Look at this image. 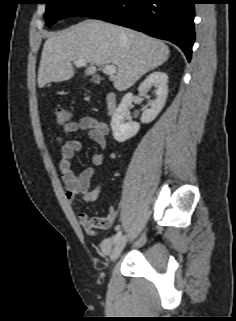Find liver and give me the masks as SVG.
Instances as JSON below:
<instances>
[{
	"label": "liver",
	"mask_w": 236,
	"mask_h": 321,
	"mask_svg": "<svg viewBox=\"0 0 236 321\" xmlns=\"http://www.w3.org/2000/svg\"><path fill=\"white\" fill-rule=\"evenodd\" d=\"M169 47L141 32L100 20H85L68 29L52 33L44 43L38 87L67 81L75 70L72 62L89 60L85 76L94 75L101 65H114L113 85L118 91L130 88L145 73L169 58Z\"/></svg>",
	"instance_id": "obj_1"
}]
</instances>
